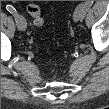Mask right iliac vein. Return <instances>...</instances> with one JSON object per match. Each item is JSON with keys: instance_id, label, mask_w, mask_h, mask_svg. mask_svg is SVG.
I'll use <instances>...</instances> for the list:
<instances>
[{"instance_id": "1", "label": "right iliac vein", "mask_w": 109, "mask_h": 109, "mask_svg": "<svg viewBox=\"0 0 109 109\" xmlns=\"http://www.w3.org/2000/svg\"><path fill=\"white\" fill-rule=\"evenodd\" d=\"M26 28H27V22H26L25 18L22 15H19L18 29L24 31Z\"/></svg>"}]
</instances>
